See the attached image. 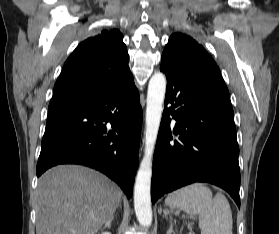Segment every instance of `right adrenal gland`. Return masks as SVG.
I'll return each mask as SVG.
<instances>
[{
    "label": "right adrenal gland",
    "mask_w": 279,
    "mask_h": 234,
    "mask_svg": "<svg viewBox=\"0 0 279 234\" xmlns=\"http://www.w3.org/2000/svg\"><path fill=\"white\" fill-rule=\"evenodd\" d=\"M113 219H114V215H112V217L109 219V221H107V223L105 224L104 228H107V227L110 228Z\"/></svg>",
    "instance_id": "right-adrenal-gland-1"
}]
</instances>
